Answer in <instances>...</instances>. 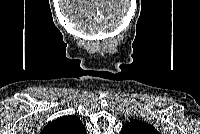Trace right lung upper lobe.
I'll return each mask as SVG.
<instances>
[{
	"label": "right lung upper lobe",
	"instance_id": "1",
	"mask_svg": "<svg viewBox=\"0 0 200 134\" xmlns=\"http://www.w3.org/2000/svg\"><path fill=\"white\" fill-rule=\"evenodd\" d=\"M44 134H85L82 122L76 116H64L50 122L43 130Z\"/></svg>",
	"mask_w": 200,
	"mask_h": 134
}]
</instances>
